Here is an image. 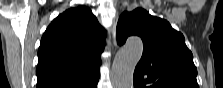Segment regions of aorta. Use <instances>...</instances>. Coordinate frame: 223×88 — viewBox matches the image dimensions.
I'll return each mask as SVG.
<instances>
[{"instance_id":"762f6f07","label":"aorta","mask_w":223,"mask_h":88,"mask_svg":"<svg viewBox=\"0 0 223 88\" xmlns=\"http://www.w3.org/2000/svg\"><path fill=\"white\" fill-rule=\"evenodd\" d=\"M143 52L142 40L133 37L116 54L111 71L114 88H133L134 69Z\"/></svg>"}]
</instances>
